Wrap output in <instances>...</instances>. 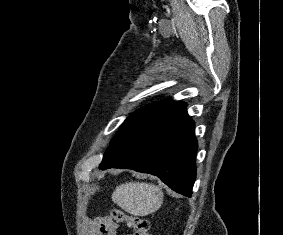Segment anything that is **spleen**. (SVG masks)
Masks as SVG:
<instances>
[{"instance_id": "obj_1", "label": "spleen", "mask_w": 283, "mask_h": 235, "mask_svg": "<svg viewBox=\"0 0 283 235\" xmlns=\"http://www.w3.org/2000/svg\"><path fill=\"white\" fill-rule=\"evenodd\" d=\"M160 187L144 182L121 184L112 193V201L134 216H146L157 211L163 203Z\"/></svg>"}]
</instances>
